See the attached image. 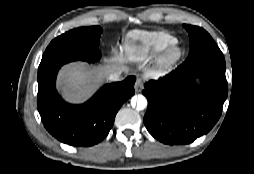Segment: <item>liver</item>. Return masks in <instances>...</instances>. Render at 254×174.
I'll use <instances>...</instances> for the list:
<instances>
[{
  "label": "liver",
  "instance_id": "6515ba94",
  "mask_svg": "<svg viewBox=\"0 0 254 174\" xmlns=\"http://www.w3.org/2000/svg\"><path fill=\"white\" fill-rule=\"evenodd\" d=\"M119 68L125 72L129 70L123 61L117 59L93 67L84 62L70 63L59 73L58 88L67 101L81 102L91 95L101 81Z\"/></svg>",
  "mask_w": 254,
  "mask_h": 174
}]
</instances>
